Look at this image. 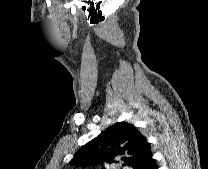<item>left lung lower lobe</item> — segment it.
<instances>
[{
	"label": "left lung lower lobe",
	"mask_w": 208,
	"mask_h": 169,
	"mask_svg": "<svg viewBox=\"0 0 208 169\" xmlns=\"http://www.w3.org/2000/svg\"><path fill=\"white\" fill-rule=\"evenodd\" d=\"M138 169H158L155 160L152 158L151 150L146 152Z\"/></svg>",
	"instance_id": "obj_1"
}]
</instances>
